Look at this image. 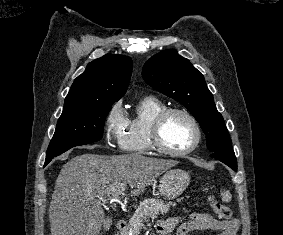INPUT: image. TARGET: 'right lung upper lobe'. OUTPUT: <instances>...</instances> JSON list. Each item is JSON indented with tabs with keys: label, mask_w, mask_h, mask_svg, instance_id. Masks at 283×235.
Segmentation results:
<instances>
[{
	"label": "right lung upper lobe",
	"mask_w": 283,
	"mask_h": 235,
	"mask_svg": "<svg viewBox=\"0 0 283 235\" xmlns=\"http://www.w3.org/2000/svg\"><path fill=\"white\" fill-rule=\"evenodd\" d=\"M131 73V58L104 55L90 62L74 80L65 103L118 101L126 93Z\"/></svg>",
	"instance_id": "1"
}]
</instances>
